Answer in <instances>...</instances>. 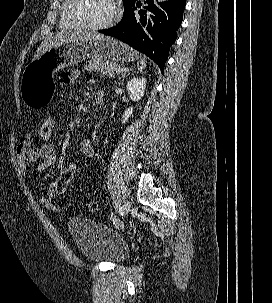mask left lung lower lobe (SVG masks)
Listing matches in <instances>:
<instances>
[{
  "label": "left lung lower lobe",
  "instance_id": "left-lung-lower-lobe-1",
  "mask_svg": "<svg viewBox=\"0 0 272 303\" xmlns=\"http://www.w3.org/2000/svg\"><path fill=\"white\" fill-rule=\"evenodd\" d=\"M145 10L134 14L135 1L124 11L123 19L116 26L100 30L113 36L151 58L164 71L171 45L183 20L185 0H144Z\"/></svg>",
  "mask_w": 272,
  "mask_h": 303
}]
</instances>
